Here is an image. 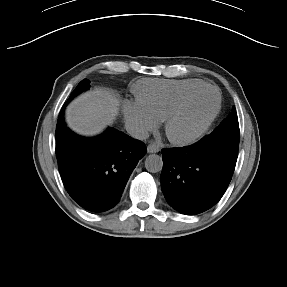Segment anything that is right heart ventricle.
Wrapping results in <instances>:
<instances>
[{
  "mask_svg": "<svg viewBox=\"0 0 287 287\" xmlns=\"http://www.w3.org/2000/svg\"><path fill=\"white\" fill-rule=\"evenodd\" d=\"M203 84L198 79H143L137 84L135 93L137 101L158 121H163L186 92Z\"/></svg>",
  "mask_w": 287,
  "mask_h": 287,
  "instance_id": "obj_1",
  "label": "right heart ventricle"
}]
</instances>
